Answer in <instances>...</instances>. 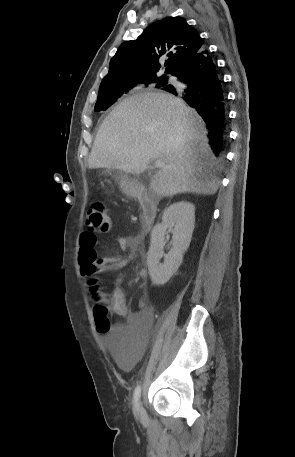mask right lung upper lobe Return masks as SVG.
Wrapping results in <instances>:
<instances>
[{
	"label": "right lung upper lobe",
	"instance_id": "right-lung-upper-lobe-1",
	"mask_svg": "<svg viewBox=\"0 0 295 457\" xmlns=\"http://www.w3.org/2000/svg\"><path fill=\"white\" fill-rule=\"evenodd\" d=\"M203 44L196 29L182 17L156 21L136 40L120 45L99 92L138 86L156 78L161 68L173 74L182 62L202 49Z\"/></svg>",
	"mask_w": 295,
	"mask_h": 457
}]
</instances>
